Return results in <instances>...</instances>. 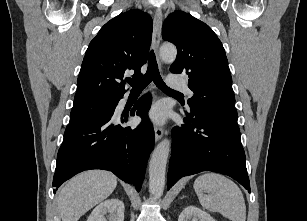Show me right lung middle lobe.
Masks as SVG:
<instances>
[{
  "label": "right lung middle lobe",
  "mask_w": 307,
  "mask_h": 221,
  "mask_svg": "<svg viewBox=\"0 0 307 221\" xmlns=\"http://www.w3.org/2000/svg\"><path fill=\"white\" fill-rule=\"evenodd\" d=\"M117 101H99L74 105L66 129L109 115Z\"/></svg>",
  "instance_id": "obj_1"
}]
</instances>
